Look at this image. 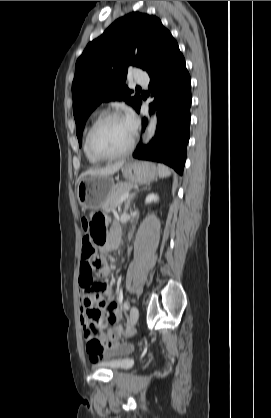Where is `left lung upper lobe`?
<instances>
[{"label": "left lung upper lobe", "mask_w": 271, "mask_h": 418, "mask_svg": "<svg viewBox=\"0 0 271 418\" xmlns=\"http://www.w3.org/2000/svg\"><path fill=\"white\" fill-rule=\"evenodd\" d=\"M172 37L154 15L129 13L90 42L75 66L72 84L73 113L79 146L88 116L102 101L125 100L136 109L141 97L124 81L130 66L149 72L159 61Z\"/></svg>", "instance_id": "obj_1"}]
</instances>
